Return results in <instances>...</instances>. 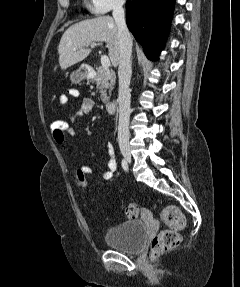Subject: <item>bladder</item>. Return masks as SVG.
<instances>
[{
  "mask_svg": "<svg viewBox=\"0 0 240 287\" xmlns=\"http://www.w3.org/2000/svg\"><path fill=\"white\" fill-rule=\"evenodd\" d=\"M147 238V226L140 220L127 221L109 228L104 235V240L109 247L130 254L139 253Z\"/></svg>",
  "mask_w": 240,
  "mask_h": 287,
  "instance_id": "1",
  "label": "bladder"
}]
</instances>
